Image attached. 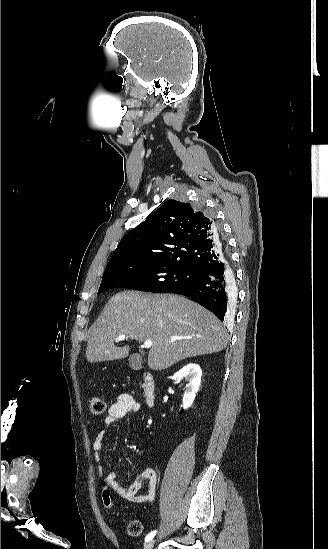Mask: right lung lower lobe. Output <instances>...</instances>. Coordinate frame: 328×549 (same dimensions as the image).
<instances>
[{"mask_svg": "<svg viewBox=\"0 0 328 549\" xmlns=\"http://www.w3.org/2000/svg\"><path fill=\"white\" fill-rule=\"evenodd\" d=\"M235 279L227 256L199 273L194 281L166 292L189 296L213 312L222 322L229 319V295L235 293Z\"/></svg>", "mask_w": 328, "mask_h": 549, "instance_id": "1", "label": "right lung lower lobe"}]
</instances>
